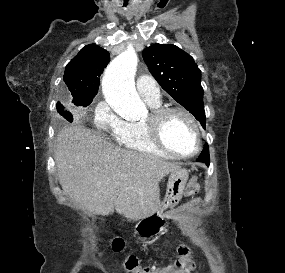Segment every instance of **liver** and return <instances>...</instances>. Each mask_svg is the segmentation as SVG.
<instances>
[{
  "label": "liver",
  "instance_id": "liver-1",
  "mask_svg": "<svg viewBox=\"0 0 285 273\" xmlns=\"http://www.w3.org/2000/svg\"><path fill=\"white\" fill-rule=\"evenodd\" d=\"M55 162L64 192L92 214L114 212L145 219L160 207L159 182L178 163L114 146L91 130L73 125L56 137Z\"/></svg>",
  "mask_w": 285,
  "mask_h": 273
}]
</instances>
